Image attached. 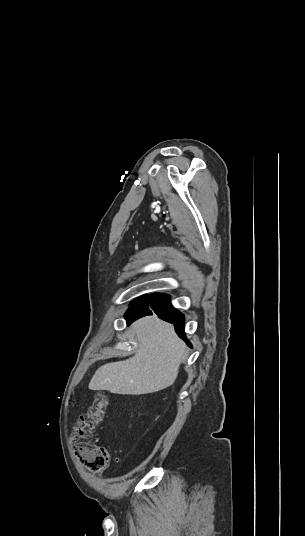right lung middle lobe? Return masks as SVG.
Returning a JSON list of instances; mask_svg holds the SVG:
<instances>
[{
  "mask_svg": "<svg viewBox=\"0 0 305 536\" xmlns=\"http://www.w3.org/2000/svg\"><path fill=\"white\" fill-rule=\"evenodd\" d=\"M141 298H142V297L135 299V300L132 302V305H133L135 302H137L139 299H141Z\"/></svg>",
  "mask_w": 305,
  "mask_h": 536,
  "instance_id": "right-lung-middle-lobe-1",
  "label": "right lung middle lobe"
}]
</instances>
